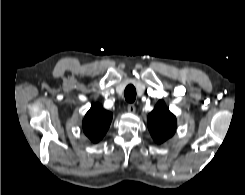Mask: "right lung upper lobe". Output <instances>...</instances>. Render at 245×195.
I'll list each match as a JSON object with an SVG mask.
<instances>
[{"label": "right lung upper lobe", "instance_id": "cb5924a9", "mask_svg": "<svg viewBox=\"0 0 245 195\" xmlns=\"http://www.w3.org/2000/svg\"><path fill=\"white\" fill-rule=\"evenodd\" d=\"M112 120V113L103 109L100 104L93 105L83 120L84 133L97 143L107 132Z\"/></svg>", "mask_w": 245, "mask_h": 195}]
</instances>
